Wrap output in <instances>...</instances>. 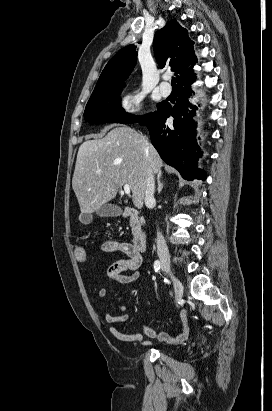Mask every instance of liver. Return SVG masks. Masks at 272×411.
Instances as JSON below:
<instances>
[{
  "label": "liver",
  "instance_id": "1",
  "mask_svg": "<svg viewBox=\"0 0 272 411\" xmlns=\"http://www.w3.org/2000/svg\"><path fill=\"white\" fill-rule=\"evenodd\" d=\"M163 166L148 139L127 126L112 129L104 138L87 140L79 147L72 187L82 214H90L115 198L128 184L132 201L143 206L149 169L161 173Z\"/></svg>",
  "mask_w": 272,
  "mask_h": 411
}]
</instances>
